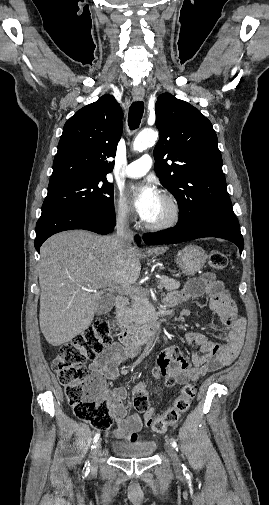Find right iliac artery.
Masks as SVG:
<instances>
[{
	"label": "right iliac artery",
	"instance_id": "obj_1",
	"mask_svg": "<svg viewBox=\"0 0 269 505\" xmlns=\"http://www.w3.org/2000/svg\"><path fill=\"white\" fill-rule=\"evenodd\" d=\"M99 438H100V433H97V434L95 435L94 439H93V445H92V448H94V447H95V443H97V441L99 440ZM89 466H90L89 462H86V464H85V466H84V469H83V471H84V474H85V475H87V474L89 473V471H90V470H89Z\"/></svg>",
	"mask_w": 269,
	"mask_h": 505
}]
</instances>
